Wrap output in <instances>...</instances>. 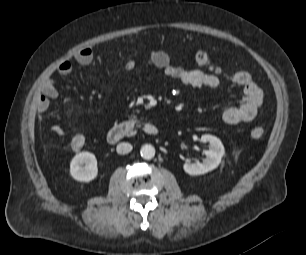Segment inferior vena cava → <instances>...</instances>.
<instances>
[{
    "instance_id": "1",
    "label": "inferior vena cava",
    "mask_w": 306,
    "mask_h": 255,
    "mask_svg": "<svg viewBox=\"0 0 306 255\" xmlns=\"http://www.w3.org/2000/svg\"><path fill=\"white\" fill-rule=\"evenodd\" d=\"M132 150V145L129 143H120L117 145L116 151L118 154H127Z\"/></svg>"
}]
</instances>
